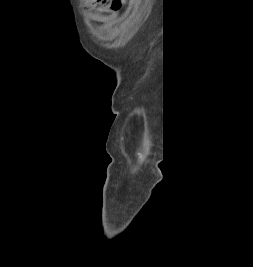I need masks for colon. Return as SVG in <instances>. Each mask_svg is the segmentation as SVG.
I'll return each instance as SVG.
<instances>
[{"label": "colon", "instance_id": "1", "mask_svg": "<svg viewBox=\"0 0 253 267\" xmlns=\"http://www.w3.org/2000/svg\"><path fill=\"white\" fill-rule=\"evenodd\" d=\"M125 0H83L82 5L85 8H94L96 5H101L113 10H119Z\"/></svg>", "mask_w": 253, "mask_h": 267}]
</instances>
